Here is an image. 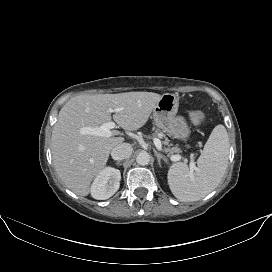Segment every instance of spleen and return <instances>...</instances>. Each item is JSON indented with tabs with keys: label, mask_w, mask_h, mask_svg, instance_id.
<instances>
[{
	"label": "spleen",
	"mask_w": 272,
	"mask_h": 272,
	"mask_svg": "<svg viewBox=\"0 0 272 272\" xmlns=\"http://www.w3.org/2000/svg\"><path fill=\"white\" fill-rule=\"evenodd\" d=\"M229 139L223 125L211 132L197 160V169L185 163H174L168 171V184L173 195L182 202L197 201L213 191L221 181L228 164Z\"/></svg>",
	"instance_id": "3e777b00"
}]
</instances>
